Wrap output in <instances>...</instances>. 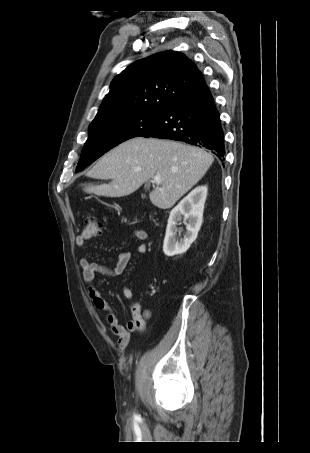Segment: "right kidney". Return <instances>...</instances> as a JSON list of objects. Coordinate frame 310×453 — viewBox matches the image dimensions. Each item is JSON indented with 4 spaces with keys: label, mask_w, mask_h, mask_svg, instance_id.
Masks as SVG:
<instances>
[{
    "label": "right kidney",
    "mask_w": 310,
    "mask_h": 453,
    "mask_svg": "<svg viewBox=\"0 0 310 453\" xmlns=\"http://www.w3.org/2000/svg\"><path fill=\"white\" fill-rule=\"evenodd\" d=\"M207 197V186H197L170 212L166 235L163 244L165 255L172 257L183 254L197 238L203 221L204 204ZM184 219L186 232L184 238L177 240L178 222Z\"/></svg>",
    "instance_id": "ca27d5eb"
}]
</instances>
